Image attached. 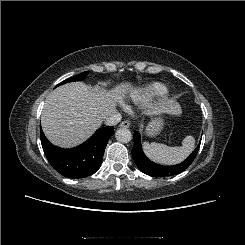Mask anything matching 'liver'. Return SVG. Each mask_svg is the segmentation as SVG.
I'll return each mask as SVG.
<instances>
[{
  "mask_svg": "<svg viewBox=\"0 0 245 245\" xmlns=\"http://www.w3.org/2000/svg\"><path fill=\"white\" fill-rule=\"evenodd\" d=\"M128 92L138 99L139 90L129 83H121L111 91L82 82L62 85L51 92L45 102L41 116L44 134L59 147L77 146L100 127L103 119L116 112L117 104L124 101ZM176 110H180L179 105L170 101L154 112Z\"/></svg>",
  "mask_w": 245,
  "mask_h": 245,
  "instance_id": "6515ba94",
  "label": "liver"
}]
</instances>
